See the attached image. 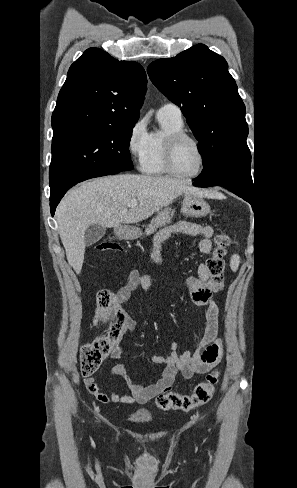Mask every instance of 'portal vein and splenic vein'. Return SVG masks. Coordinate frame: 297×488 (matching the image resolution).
<instances>
[{"instance_id":"obj_1","label":"portal vein and splenic vein","mask_w":297,"mask_h":488,"mask_svg":"<svg viewBox=\"0 0 297 488\" xmlns=\"http://www.w3.org/2000/svg\"><path fill=\"white\" fill-rule=\"evenodd\" d=\"M138 204L137 200H131L130 203L128 204L129 207H135Z\"/></svg>"}]
</instances>
